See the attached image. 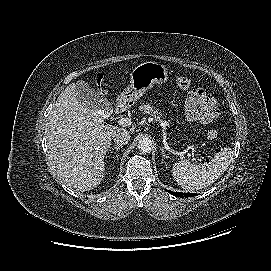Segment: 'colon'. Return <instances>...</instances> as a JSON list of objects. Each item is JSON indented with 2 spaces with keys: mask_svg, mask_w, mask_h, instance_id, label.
Returning <instances> with one entry per match:
<instances>
[{
  "mask_svg": "<svg viewBox=\"0 0 271 271\" xmlns=\"http://www.w3.org/2000/svg\"><path fill=\"white\" fill-rule=\"evenodd\" d=\"M176 84L181 89H188L191 86V80L187 77H179L176 80ZM218 136V131L215 129H212L208 131L207 137L209 139H215Z\"/></svg>",
  "mask_w": 271,
  "mask_h": 271,
  "instance_id": "5ec220e1",
  "label": "colon"
}]
</instances>
